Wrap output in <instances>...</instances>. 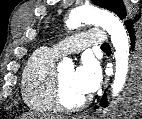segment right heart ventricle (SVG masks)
Here are the masks:
<instances>
[{"instance_id":"1","label":"right heart ventricle","mask_w":142,"mask_h":119,"mask_svg":"<svg viewBox=\"0 0 142 119\" xmlns=\"http://www.w3.org/2000/svg\"><path fill=\"white\" fill-rule=\"evenodd\" d=\"M59 55L52 49L42 47L36 50L26 63L22 73V96L33 110L55 111L52 86L55 76V62Z\"/></svg>"}]
</instances>
